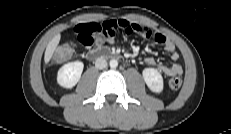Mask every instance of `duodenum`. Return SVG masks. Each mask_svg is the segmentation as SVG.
I'll use <instances>...</instances> for the list:
<instances>
[{"label": "duodenum", "instance_id": "obj_1", "mask_svg": "<svg viewBox=\"0 0 231 134\" xmlns=\"http://www.w3.org/2000/svg\"><path fill=\"white\" fill-rule=\"evenodd\" d=\"M116 57H119L117 53L103 47L95 48L91 50L87 55V58L91 61L102 59V58H116Z\"/></svg>", "mask_w": 231, "mask_h": 134}]
</instances>
